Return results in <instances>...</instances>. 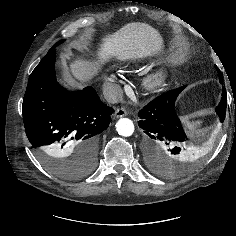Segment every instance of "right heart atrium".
Listing matches in <instances>:
<instances>
[{"label":"right heart atrium","mask_w":236,"mask_h":236,"mask_svg":"<svg viewBox=\"0 0 236 236\" xmlns=\"http://www.w3.org/2000/svg\"><path fill=\"white\" fill-rule=\"evenodd\" d=\"M105 92L109 98H114L118 92V85L113 76H107L104 84Z\"/></svg>","instance_id":"obj_1"}]
</instances>
